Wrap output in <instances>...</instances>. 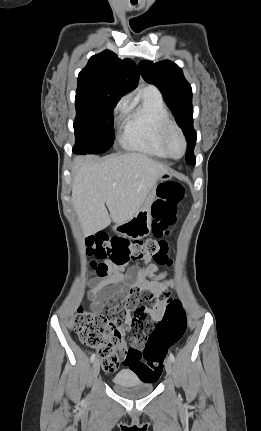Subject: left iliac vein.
<instances>
[{
	"instance_id": "4c4485c4",
	"label": "left iliac vein",
	"mask_w": 261,
	"mask_h": 431,
	"mask_svg": "<svg viewBox=\"0 0 261 431\" xmlns=\"http://www.w3.org/2000/svg\"><path fill=\"white\" fill-rule=\"evenodd\" d=\"M165 369H166L167 375L171 378L173 376V364L169 358H167L165 362Z\"/></svg>"
}]
</instances>
